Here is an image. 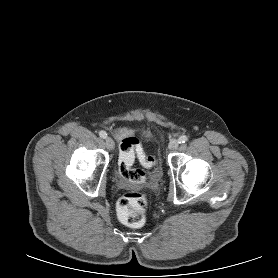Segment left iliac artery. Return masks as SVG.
Wrapping results in <instances>:
<instances>
[{
	"label": "left iliac artery",
	"mask_w": 278,
	"mask_h": 278,
	"mask_svg": "<svg viewBox=\"0 0 278 278\" xmlns=\"http://www.w3.org/2000/svg\"><path fill=\"white\" fill-rule=\"evenodd\" d=\"M187 140H188V137L186 135H182L178 139L179 143H185V142H187Z\"/></svg>",
	"instance_id": "left-iliac-artery-1"
}]
</instances>
